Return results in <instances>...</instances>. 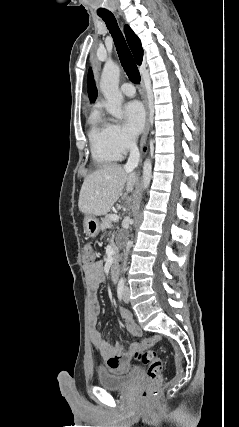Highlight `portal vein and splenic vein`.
<instances>
[{
	"label": "portal vein and splenic vein",
	"mask_w": 239,
	"mask_h": 427,
	"mask_svg": "<svg viewBox=\"0 0 239 427\" xmlns=\"http://www.w3.org/2000/svg\"><path fill=\"white\" fill-rule=\"evenodd\" d=\"M110 219L112 221H117L118 220V215L117 214H112V215H110Z\"/></svg>",
	"instance_id": "portal-vein-and-splenic-vein-1"
}]
</instances>
